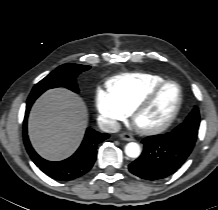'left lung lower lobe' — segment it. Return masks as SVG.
<instances>
[{
    "label": "left lung lower lobe",
    "instance_id": "0a47b994",
    "mask_svg": "<svg viewBox=\"0 0 218 210\" xmlns=\"http://www.w3.org/2000/svg\"><path fill=\"white\" fill-rule=\"evenodd\" d=\"M180 125L175 132L143 139L141 156L129 165V171L146 180H158L176 172L190 155L195 142L184 136Z\"/></svg>",
    "mask_w": 218,
    "mask_h": 210
}]
</instances>
